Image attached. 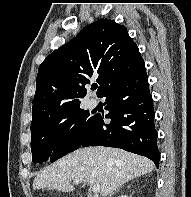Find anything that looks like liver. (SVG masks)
<instances>
[{"instance_id": "obj_1", "label": "liver", "mask_w": 191, "mask_h": 197, "mask_svg": "<svg viewBox=\"0 0 191 197\" xmlns=\"http://www.w3.org/2000/svg\"><path fill=\"white\" fill-rule=\"evenodd\" d=\"M154 164L146 157L118 148L89 147L80 148L37 173L33 189L44 188L71 192V184L79 180L86 184L99 185L100 194H112L124 183L150 173Z\"/></svg>"}]
</instances>
